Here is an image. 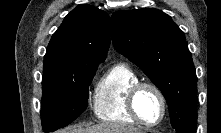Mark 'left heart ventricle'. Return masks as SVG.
<instances>
[{
  "label": "left heart ventricle",
  "instance_id": "left-heart-ventricle-1",
  "mask_svg": "<svg viewBox=\"0 0 221 133\" xmlns=\"http://www.w3.org/2000/svg\"><path fill=\"white\" fill-rule=\"evenodd\" d=\"M140 116L149 123L159 120L162 113V106L159 97L151 89H143L136 101Z\"/></svg>",
  "mask_w": 221,
  "mask_h": 133
}]
</instances>
